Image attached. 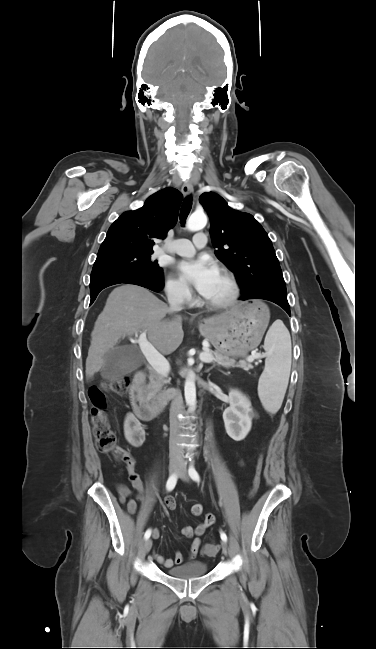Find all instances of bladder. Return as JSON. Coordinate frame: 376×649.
<instances>
[{
    "mask_svg": "<svg viewBox=\"0 0 376 649\" xmlns=\"http://www.w3.org/2000/svg\"><path fill=\"white\" fill-rule=\"evenodd\" d=\"M208 570L206 563L196 561L183 566L173 567L167 570V574L177 579L189 580L204 576Z\"/></svg>",
    "mask_w": 376,
    "mask_h": 649,
    "instance_id": "1",
    "label": "bladder"
}]
</instances>
